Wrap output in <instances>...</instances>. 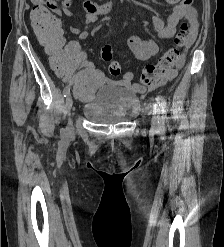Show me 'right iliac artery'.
Returning <instances> with one entry per match:
<instances>
[{
    "mask_svg": "<svg viewBox=\"0 0 224 247\" xmlns=\"http://www.w3.org/2000/svg\"><path fill=\"white\" fill-rule=\"evenodd\" d=\"M70 92V86H66L63 90V95L64 97H66Z\"/></svg>",
    "mask_w": 224,
    "mask_h": 247,
    "instance_id": "obj_1",
    "label": "right iliac artery"
}]
</instances>
